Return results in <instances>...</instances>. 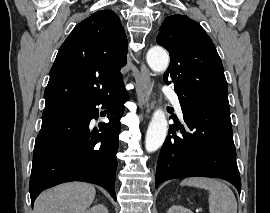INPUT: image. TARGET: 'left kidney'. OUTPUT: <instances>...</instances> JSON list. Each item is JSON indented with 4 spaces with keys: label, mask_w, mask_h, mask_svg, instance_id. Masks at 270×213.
<instances>
[{
    "label": "left kidney",
    "mask_w": 270,
    "mask_h": 213,
    "mask_svg": "<svg viewBox=\"0 0 270 213\" xmlns=\"http://www.w3.org/2000/svg\"><path fill=\"white\" fill-rule=\"evenodd\" d=\"M167 213H193V212L183 206L173 205L169 208Z\"/></svg>",
    "instance_id": "5707ae66"
}]
</instances>
